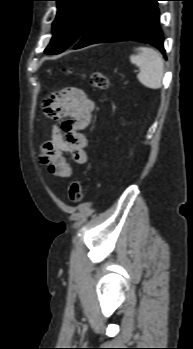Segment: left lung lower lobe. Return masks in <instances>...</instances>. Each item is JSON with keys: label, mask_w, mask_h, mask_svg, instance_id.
Returning a JSON list of instances; mask_svg holds the SVG:
<instances>
[{"label": "left lung lower lobe", "mask_w": 193, "mask_h": 349, "mask_svg": "<svg viewBox=\"0 0 193 349\" xmlns=\"http://www.w3.org/2000/svg\"><path fill=\"white\" fill-rule=\"evenodd\" d=\"M157 1L109 0L83 32L74 49L131 40L154 45L165 55Z\"/></svg>", "instance_id": "left-lung-lower-lobe-1"}]
</instances>
